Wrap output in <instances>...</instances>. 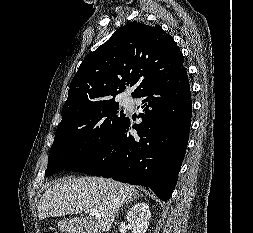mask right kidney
<instances>
[{
    "mask_svg": "<svg viewBox=\"0 0 253 233\" xmlns=\"http://www.w3.org/2000/svg\"><path fill=\"white\" fill-rule=\"evenodd\" d=\"M151 213L146 203H136L127 213V220L136 229V233H146Z\"/></svg>",
    "mask_w": 253,
    "mask_h": 233,
    "instance_id": "obj_1",
    "label": "right kidney"
}]
</instances>
